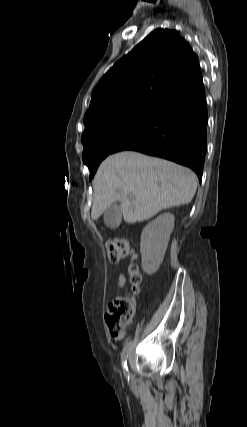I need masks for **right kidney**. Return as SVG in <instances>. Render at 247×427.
I'll use <instances>...</instances> for the list:
<instances>
[{
	"mask_svg": "<svg viewBox=\"0 0 247 427\" xmlns=\"http://www.w3.org/2000/svg\"><path fill=\"white\" fill-rule=\"evenodd\" d=\"M173 229L174 215L169 212L161 214L143 229L140 253L146 274L152 275L159 269Z\"/></svg>",
	"mask_w": 247,
	"mask_h": 427,
	"instance_id": "1",
	"label": "right kidney"
}]
</instances>
